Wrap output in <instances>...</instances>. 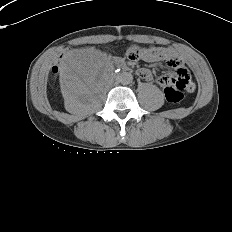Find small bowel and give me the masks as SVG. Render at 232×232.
Listing matches in <instances>:
<instances>
[{"mask_svg": "<svg viewBox=\"0 0 232 232\" xmlns=\"http://www.w3.org/2000/svg\"><path fill=\"white\" fill-rule=\"evenodd\" d=\"M140 57L143 61L146 62H160L164 63L170 67H173L175 69L174 75L177 76L178 73L181 74V72L187 70L182 65V59L178 55V52L172 48V47H166V46H151L146 49H142L139 51ZM139 76L146 82H151L153 80V77L149 70L147 69H140L138 71ZM188 74V72H187ZM159 84L161 86L164 85V80L161 78L159 80ZM195 88V85L193 82L189 79V83L186 87V90L188 92L193 91Z\"/></svg>", "mask_w": 232, "mask_h": 232, "instance_id": "1", "label": "small bowel"}]
</instances>
